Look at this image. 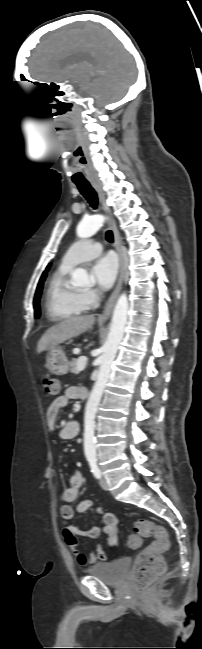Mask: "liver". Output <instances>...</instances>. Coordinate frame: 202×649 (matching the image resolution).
<instances>
[{"label":"liver","instance_id":"obj_1","mask_svg":"<svg viewBox=\"0 0 202 649\" xmlns=\"http://www.w3.org/2000/svg\"><path fill=\"white\" fill-rule=\"evenodd\" d=\"M95 322L94 315L72 317L50 327L40 338L37 353L57 346L66 340L86 332Z\"/></svg>","mask_w":202,"mask_h":649}]
</instances>
